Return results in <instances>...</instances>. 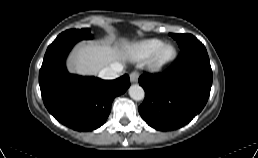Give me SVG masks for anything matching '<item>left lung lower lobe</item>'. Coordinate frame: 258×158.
Listing matches in <instances>:
<instances>
[{
  "label": "left lung lower lobe",
  "mask_w": 258,
  "mask_h": 158,
  "mask_svg": "<svg viewBox=\"0 0 258 158\" xmlns=\"http://www.w3.org/2000/svg\"><path fill=\"white\" fill-rule=\"evenodd\" d=\"M139 84L145 90L139 113L160 131L180 128L204 108L211 90L212 70L204 45L195 41L181 49L177 62L163 73H144Z\"/></svg>",
  "instance_id": "0a47b994"
}]
</instances>
